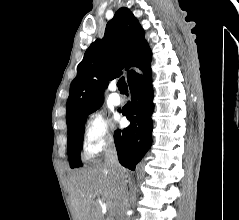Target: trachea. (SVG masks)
<instances>
[{"instance_id":"obj_1","label":"trachea","mask_w":239,"mask_h":220,"mask_svg":"<svg viewBox=\"0 0 239 220\" xmlns=\"http://www.w3.org/2000/svg\"><path fill=\"white\" fill-rule=\"evenodd\" d=\"M117 86H118V89H119L120 91H122V90H128V86H127V84H126V81H125V78H124V77H121V78L118 80Z\"/></svg>"}]
</instances>
